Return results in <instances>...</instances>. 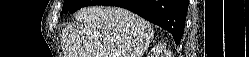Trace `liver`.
Wrapping results in <instances>:
<instances>
[{"label": "liver", "mask_w": 249, "mask_h": 57, "mask_svg": "<svg viewBox=\"0 0 249 57\" xmlns=\"http://www.w3.org/2000/svg\"><path fill=\"white\" fill-rule=\"evenodd\" d=\"M74 16L84 28L63 29L65 57H143L154 37L149 22L120 7L88 6Z\"/></svg>", "instance_id": "6515ba94"}]
</instances>
